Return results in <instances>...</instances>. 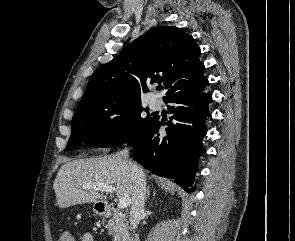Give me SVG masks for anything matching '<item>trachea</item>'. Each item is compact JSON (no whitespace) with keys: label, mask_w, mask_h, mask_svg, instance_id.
Here are the masks:
<instances>
[{"label":"trachea","mask_w":295,"mask_h":241,"mask_svg":"<svg viewBox=\"0 0 295 241\" xmlns=\"http://www.w3.org/2000/svg\"><path fill=\"white\" fill-rule=\"evenodd\" d=\"M161 89H162V87H161V86L157 87V90H161Z\"/></svg>","instance_id":"trachea-1"}]
</instances>
